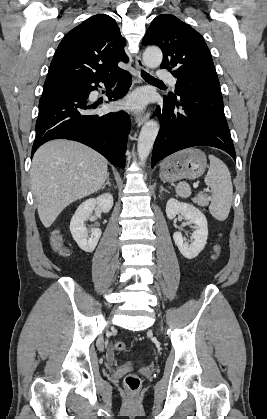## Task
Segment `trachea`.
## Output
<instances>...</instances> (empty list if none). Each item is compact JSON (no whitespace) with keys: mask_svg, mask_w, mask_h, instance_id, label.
<instances>
[{"mask_svg":"<svg viewBox=\"0 0 267 419\" xmlns=\"http://www.w3.org/2000/svg\"><path fill=\"white\" fill-rule=\"evenodd\" d=\"M141 75H142V77L145 80H151V81L161 82L160 80L154 78L153 76H151L150 74H148L147 72H145L143 70L141 71Z\"/></svg>","mask_w":267,"mask_h":419,"instance_id":"obj_1","label":"trachea"}]
</instances>
